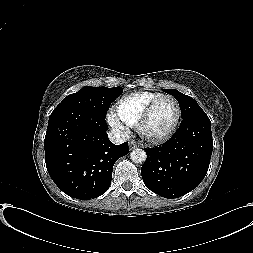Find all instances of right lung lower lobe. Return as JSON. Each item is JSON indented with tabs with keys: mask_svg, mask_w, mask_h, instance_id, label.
<instances>
[{
	"mask_svg": "<svg viewBox=\"0 0 253 253\" xmlns=\"http://www.w3.org/2000/svg\"><path fill=\"white\" fill-rule=\"evenodd\" d=\"M104 118L86 110L53 111L44 140L48 173L67 195L89 200L111 184L113 165L128 154V143L113 144Z\"/></svg>",
	"mask_w": 253,
	"mask_h": 253,
	"instance_id": "98d812e1",
	"label": "right lung lower lobe"
}]
</instances>
